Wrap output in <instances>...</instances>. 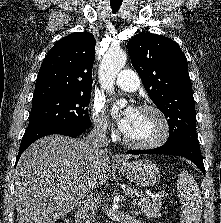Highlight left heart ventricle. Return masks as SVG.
<instances>
[{
	"instance_id": "left-heart-ventricle-1",
	"label": "left heart ventricle",
	"mask_w": 221,
	"mask_h": 223,
	"mask_svg": "<svg viewBox=\"0 0 221 223\" xmlns=\"http://www.w3.org/2000/svg\"><path fill=\"white\" fill-rule=\"evenodd\" d=\"M161 122L152 112L137 111L125 136L135 142H149L159 136Z\"/></svg>"
}]
</instances>
